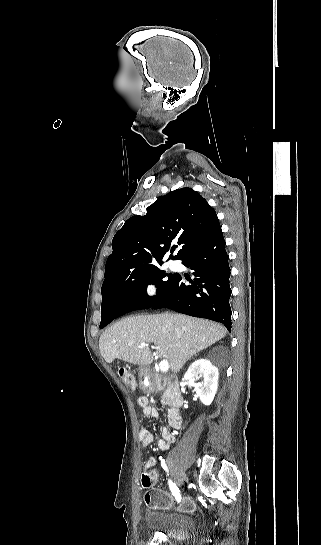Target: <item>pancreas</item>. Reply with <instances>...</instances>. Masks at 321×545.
Wrapping results in <instances>:
<instances>
[{"instance_id": "obj_1", "label": "pancreas", "mask_w": 321, "mask_h": 545, "mask_svg": "<svg viewBox=\"0 0 321 545\" xmlns=\"http://www.w3.org/2000/svg\"><path fill=\"white\" fill-rule=\"evenodd\" d=\"M151 371H149L148 375H150ZM153 375H156V373H153Z\"/></svg>"}]
</instances>
